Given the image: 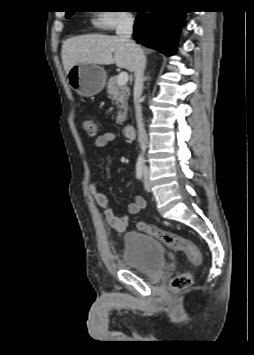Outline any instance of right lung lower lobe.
Instances as JSON below:
<instances>
[{"label": "right lung lower lobe", "instance_id": "obj_1", "mask_svg": "<svg viewBox=\"0 0 254 355\" xmlns=\"http://www.w3.org/2000/svg\"><path fill=\"white\" fill-rule=\"evenodd\" d=\"M185 14L186 11L178 9L141 11L135 21L133 36L140 44L172 55L180 28L185 25Z\"/></svg>", "mask_w": 254, "mask_h": 355}]
</instances>
